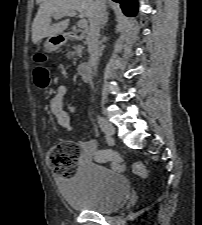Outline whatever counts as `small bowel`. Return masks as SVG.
<instances>
[{
  "instance_id": "1",
  "label": "small bowel",
  "mask_w": 202,
  "mask_h": 225,
  "mask_svg": "<svg viewBox=\"0 0 202 225\" xmlns=\"http://www.w3.org/2000/svg\"><path fill=\"white\" fill-rule=\"evenodd\" d=\"M67 93V87L65 85H59L55 95L49 101V109L52 115L55 117L57 124L67 130L74 133L70 114L64 108V96ZM81 148L80 162H97L106 163L104 160L105 153L110 151L97 150V144L94 139H84L79 142Z\"/></svg>"
}]
</instances>
